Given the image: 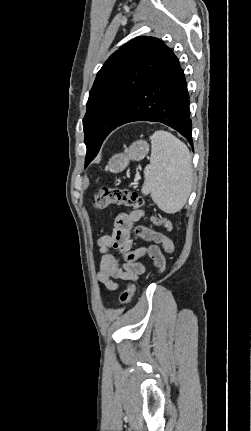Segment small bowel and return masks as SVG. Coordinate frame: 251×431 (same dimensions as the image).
<instances>
[{
	"mask_svg": "<svg viewBox=\"0 0 251 431\" xmlns=\"http://www.w3.org/2000/svg\"><path fill=\"white\" fill-rule=\"evenodd\" d=\"M142 217L143 212L137 210L118 214L112 233L98 240L101 262L97 278L107 290L116 291L119 288L116 280L131 281L140 277L145 272V266L139 262V259L144 255H148L155 267L162 271L166 265V258L159 245L167 253H172L174 250L172 240L166 235L145 226H135ZM160 223L167 229L171 227L166 220H161ZM132 233L152 244L133 249ZM114 251H118L122 259H119L113 253Z\"/></svg>",
	"mask_w": 251,
	"mask_h": 431,
	"instance_id": "c3829d8e",
	"label": "small bowel"
}]
</instances>
